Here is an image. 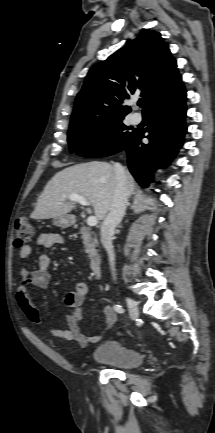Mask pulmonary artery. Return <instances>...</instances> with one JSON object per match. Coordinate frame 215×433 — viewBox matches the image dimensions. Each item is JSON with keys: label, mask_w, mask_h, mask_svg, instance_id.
<instances>
[{"label": "pulmonary artery", "mask_w": 215, "mask_h": 433, "mask_svg": "<svg viewBox=\"0 0 215 433\" xmlns=\"http://www.w3.org/2000/svg\"><path fill=\"white\" fill-rule=\"evenodd\" d=\"M141 120H142V117H141V114H140V113L135 112V113H133V114L131 115V121H132L134 124H138V123H140Z\"/></svg>", "instance_id": "obj_1"}]
</instances>
